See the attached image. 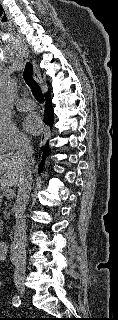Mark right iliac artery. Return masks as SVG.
<instances>
[{"instance_id":"right-iliac-artery-1","label":"right iliac artery","mask_w":118,"mask_h":320,"mask_svg":"<svg viewBox=\"0 0 118 320\" xmlns=\"http://www.w3.org/2000/svg\"><path fill=\"white\" fill-rule=\"evenodd\" d=\"M12 304L15 306V307H18L21 305V299H20V296L19 295H15L13 298H12Z\"/></svg>"}]
</instances>
